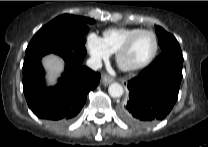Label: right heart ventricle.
<instances>
[{
    "label": "right heart ventricle",
    "instance_id": "obj_1",
    "mask_svg": "<svg viewBox=\"0 0 208 147\" xmlns=\"http://www.w3.org/2000/svg\"><path fill=\"white\" fill-rule=\"evenodd\" d=\"M139 30L141 29L137 27L109 28L103 32L102 39L110 53H116L123 43Z\"/></svg>",
    "mask_w": 208,
    "mask_h": 147
}]
</instances>
